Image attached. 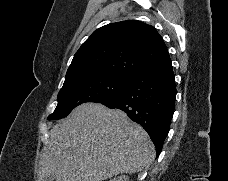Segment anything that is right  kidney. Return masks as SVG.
Listing matches in <instances>:
<instances>
[{
    "label": "right kidney",
    "instance_id": "obj_1",
    "mask_svg": "<svg viewBox=\"0 0 228 181\" xmlns=\"http://www.w3.org/2000/svg\"><path fill=\"white\" fill-rule=\"evenodd\" d=\"M111 181H129V177H126V175H121V177H115V179H111Z\"/></svg>",
    "mask_w": 228,
    "mask_h": 181
}]
</instances>
